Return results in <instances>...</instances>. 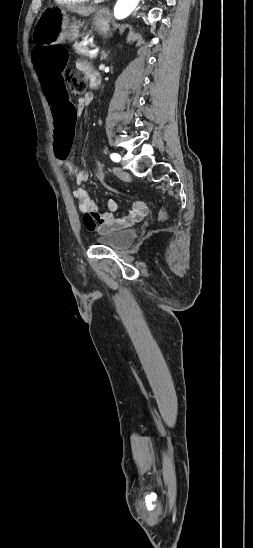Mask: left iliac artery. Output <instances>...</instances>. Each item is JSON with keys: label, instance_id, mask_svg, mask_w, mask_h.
Wrapping results in <instances>:
<instances>
[{"label": "left iliac artery", "instance_id": "1", "mask_svg": "<svg viewBox=\"0 0 253 548\" xmlns=\"http://www.w3.org/2000/svg\"><path fill=\"white\" fill-rule=\"evenodd\" d=\"M110 158H111L113 161H115V162H119L120 159H121L120 155L117 154V153H112V154L110 155Z\"/></svg>", "mask_w": 253, "mask_h": 548}]
</instances>
